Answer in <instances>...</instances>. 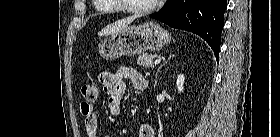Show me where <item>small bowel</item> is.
<instances>
[{
    "mask_svg": "<svg viewBox=\"0 0 280 137\" xmlns=\"http://www.w3.org/2000/svg\"><path fill=\"white\" fill-rule=\"evenodd\" d=\"M131 82L134 89L143 91L147 88V81L132 67L121 66L115 72H105L99 76L105 94L108 96V109L112 116H118L121 112L120 103L126 91L127 82ZM81 113L85 119V129L88 137H96L98 117L92 103L82 102ZM152 126L144 124L139 129L138 137H153Z\"/></svg>",
    "mask_w": 280,
    "mask_h": 137,
    "instance_id": "obj_1",
    "label": "small bowel"
}]
</instances>
